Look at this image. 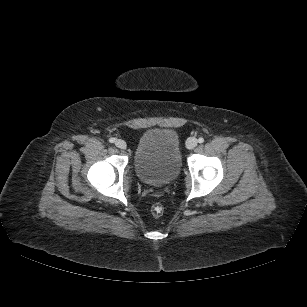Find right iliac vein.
Listing matches in <instances>:
<instances>
[{"mask_svg": "<svg viewBox=\"0 0 307 307\" xmlns=\"http://www.w3.org/2000/svg\"><path fill=\"white\" fill-rule=\"evenodd\" d=\"M115 145H116L117 148H119L121 150H125L127 148L126 142L122 139L116 140Z\"/></svg>", "mask_w": 307, "mask_h": 307, "instance_id": "right-iliac-vein-1", "label": "right iliac vein"}]
</instances>
